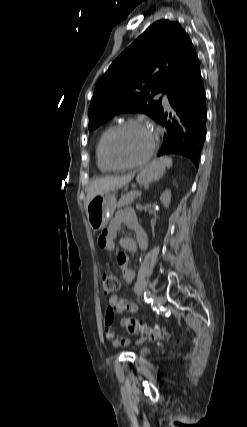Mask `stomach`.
<instances>
[{"mask_svg":"<svg viewBox=\"0 0 247 427\" xmlns=\"http://www.w3.org/2000/svg\"><path fill=\"white\" fill-rule=\"evenodd\" d=\"M164 171L165 166L155 161L139 172L137 182L144 185L153 182L157 180ZM116 206V196L115 193L111 191H106L95 196L86 208L90 228L94 231L105 228Z\"/></svg>","mask_w":247,"mask_h":427,"instance_id":"stomach-1","label":"stomach"}]
</instances>
